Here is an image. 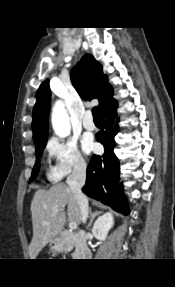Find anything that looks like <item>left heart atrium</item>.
Listing matches in <instances>:
<instances>
[{
    "label": "left heart atrium",
    "instance_id": "1",
    "mask_svg": "<svg viewBox=\"0 0 175 287\" xmlns=\"http://www.w3.org/2000/svg\"><path fill=\"white\" fill-rule=\"evenodd\" d=\"M82 146L86 152L92 151L94 148L93 139L91 137H85L82 141Z\"/></svg>",
    "mask_w": 175,
    "mask_h": 287
}]
</instances>
